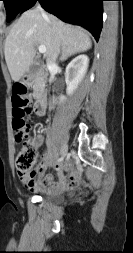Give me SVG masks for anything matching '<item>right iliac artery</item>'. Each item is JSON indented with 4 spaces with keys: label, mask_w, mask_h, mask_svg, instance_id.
I'll use <instances>...</instances> for the list:
<instances>
[{
    "label": "right iliac artery",
    "mask_w": 133,
    "mask_h": 253,
    "mask_svg": "<svg viewBox=\"0 0 133 253\" xmlns=\"http://www.w3.org/2000/svg\"><path fill=\"white\" fill-rule=\"evenodd\" d=\"M61 160H62V158L58 159V161H61Z\"/></svg>",
    "instance_id": "1"
}]
</instances>
